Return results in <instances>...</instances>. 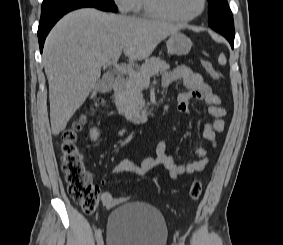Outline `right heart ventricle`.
I'll use <instances>...</instances> for the list:
<instances>
[{"mask_svg": "<svg viewBox=\"0 0 283 245\" xmlns=\"http://www.w3.org/2000/svg\"><path fill=\"white\" fill-rule=\"evenodd\" d=\"M132 10L135 13H138V14H141V15H145V16H149V17H157V16H155L154 14H152L151 12L148 11L146 4H145V0H134Z\"/></svg>", "mask_w": 283, "mask_h": 245, "instance_id": "obj_1", "label": "right heart ventricle"}]
</instances>
